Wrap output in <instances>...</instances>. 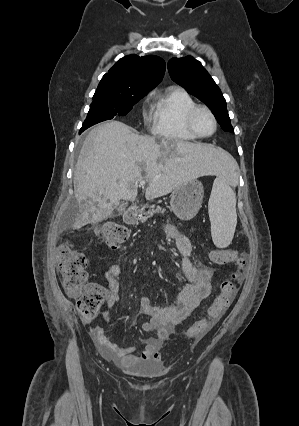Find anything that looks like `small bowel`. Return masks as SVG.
I'll return each instance as SVG.
<instances>
[{
	"label": "small bowel",
	"mask_w": 299,
	"mask_h": 426,
	"mask_svg": "<svg viewBox=\"0 0 299 426\" xmlns=\"http://www.w3.org/2000/svg\"><path fill=\"white\" fill-rule=\"evenodd\" d=\"M165 234L174 240L178 249L185 284L173 303L166 307L152 305L148 297L140 299L141 311L149 317V320L142 324V329L145 332L155 331L156 334L143 339L144 348L140 353H136V347H124L112 343L105 336L102 328L95 329V339L101 355L123 368L147 361L158 363L161 359L160 349L168 337L169 330L187 318L211 291L213 270L207 265L192 260V246L189 239L173 225L166 226ZM103 275L108 282L107 287L100 285H93V287L106 298L107 309L102 313V317L104 321L108 322V309L119 301L120 268L111 264Z\"/></svg>",
	"instance_id": "small-bowel-1"
}]
</instances>
